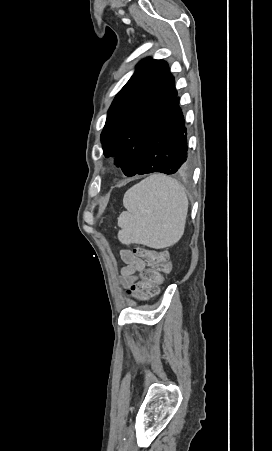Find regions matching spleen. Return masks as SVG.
<instances>
[{"label": "spleen", "mask_w": 272, "mask_h": 451, "mask_svg": "<svg viewBox=\"0 0 272 451\" xmlns=\"http://www.w3.org/2000/svg\"><path fill=\"white\" fill-rule=\"evenodd\" d=\"M118 218L121 243H143L148 247H170L184 233L188 198L177 180L152 174L124 194Z\"/></svg>", "instance_id": "obj_1"}]
</instances>
